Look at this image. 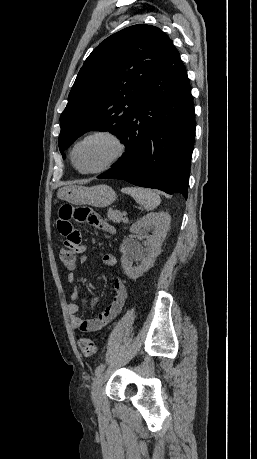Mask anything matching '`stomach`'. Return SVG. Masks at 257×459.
<instances>
[{
    "mask_svg": "<svg viewBox=\"0 0 257 459\" xmlns=\"http://www.w3.org/2000/svg\"><path fill=\"white\" fill-rule=\"evenodd\" d=\"M59 198L76 205H91L94 207H107L116 199L115 191L108 185L86 187L81 185L62 188Z\"/></svg>",
    "mask_w": 257,
    "mask_h": 459,
    "instance_id": "stomach-1",
    "label": "stomach"
}]
</instances>
